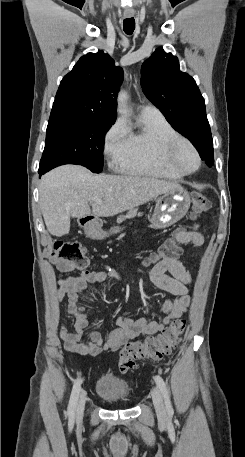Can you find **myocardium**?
Returning <instances> with one entry per match:
<instances>
[{
  "label": "myocardium",
  "mask_w": 245,
  "mask_h": 457,
  "mask_svg": "<svg viewBox=\"0 0 245 457\" xmlns=\"http://www.w3.org/2000/svg\"><path fill=\"white\" fill-rule=\"evenodd\" d=\"M151 149L149 155L152 161L159 167L172 171L180 175H189L196 172L201 165V158L193 143L184 136H175L164 145L159 143L158 139L151 140ZM180 146H185L195 159V167L191 170H186L174 163L172 156L174 151Z\"/></svg>",
  "instance_id": "obj_1"
}]
</instances>
